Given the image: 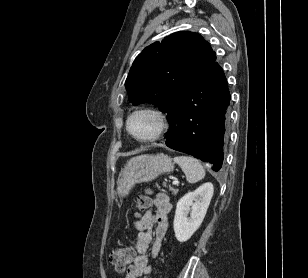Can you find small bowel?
<instances>
[{"instance_id": "obj_1", "label": "small bowel", "mask_w": 308, "mask_h": 278, "mask_svg": "<svg viewBox=\"0 0 308 278\" xmlns=\"http://www.w3.org/2000/svg\"><path fill=\"white\" fill-rule=\"evenodd\" d=\"M171 209L168 196L159 193L154 198L153 208L147 210L141 218L134 222L138 231L135 239L137 256L126 270L125 278H140L150 273L151 266L146 251L149 246H152V256H158L162 240L168 229Z\"/></svg>"}]
</instances>
